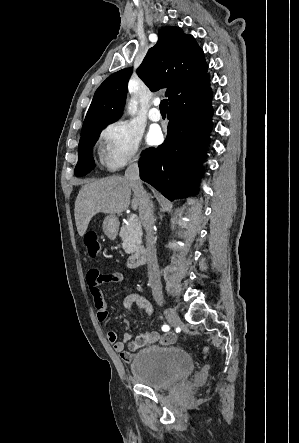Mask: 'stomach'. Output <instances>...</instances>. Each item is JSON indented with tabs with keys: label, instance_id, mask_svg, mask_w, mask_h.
<instances>
[{
	"label": "stomach",
	"instance_id": "1",
	"mask_svg": "<svg viewBox=\"0 0 299 443\" xmlns=\"http://www.w3.org/2000/svg\"><path fill=\"white\" fill-rule=\"evenodd\" d=\"M104 234L111 240H114L118 234L119 221L115 215L107 216L103 221Z\"/></svg>",
	"mask_w": 299,
	"mask_h": 443
}]
</instances>
